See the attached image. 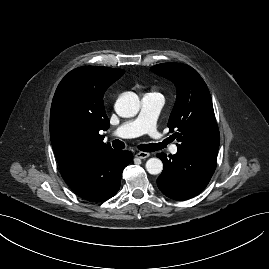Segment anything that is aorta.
<instances>
[{"label": "aorta", "instance_id": "1", "mask_svg": "<svg viewBox=\"0 0 269 269\" xmlns=\"http://www.w3.org/2000/svg\"><path fill=\"white\" fill-rule=\"evenodd\" d=\"M140 109V100L137 94L133 92L123 93L116 101L115 111L124 118L135 116ZM146 170L152 174H160L163 170V163L158 158H150L146 162Z\"/></svg>", "mask_w": 269, "mask_h": 269}]
</instances>
